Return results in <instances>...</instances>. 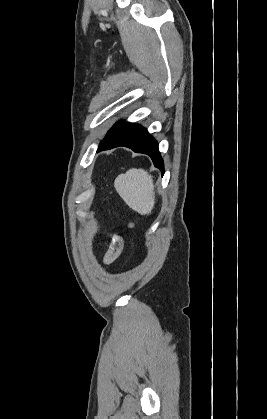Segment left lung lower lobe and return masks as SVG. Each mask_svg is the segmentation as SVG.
<instances>
[{"label":"left lung lower lobe","mask_w":267,"mask_h":419,"mask_svg":"<svg viewBox=\"0 0 267 419\" xmlns=\"http://www.w3.org/2000/svg\"><path fill=\"white\" fill-rule=\"evenodd\" d=\"M125 146L134 152L147 154L155 167L164 173V163L158 150L157 141L139 124L128 122L116 123L100 143L97 152Z\"/></svg>","instance_id":"obj_1"}]
</instances>
